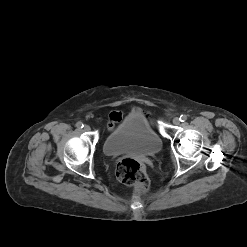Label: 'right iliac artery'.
<instances>
[{
	"label": "right iliac artery",
	"mask_w": 247,
	"mask_h": 247,
	"mask_svg": "<svg viewBox=\"0 0 247 247\" xmlns=\"http://www.w3.org/2000/svg\"><path fill=\"white\" fill-rule=\"evenodd\" d=\"M76 127H78V128H83L84 125H83L82 122H77V123H76Z\"/></svg>",
	"instance_id": "right-iliac-artery-1"
}]
</instances>
